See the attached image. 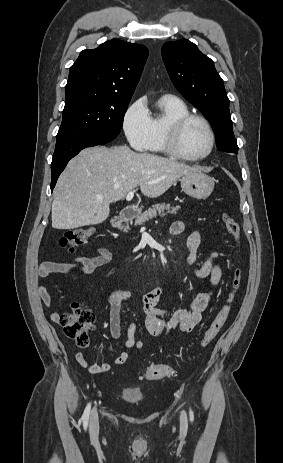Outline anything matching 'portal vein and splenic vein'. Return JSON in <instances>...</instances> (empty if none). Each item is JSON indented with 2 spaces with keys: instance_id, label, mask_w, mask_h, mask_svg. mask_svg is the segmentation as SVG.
Masks as SVG:
<instances>
[{
  "instance_id": "obj_1",
  "label": "portal vein and splenic vein",
  "mask_w": 283,
  "mask_h": 463,
  "mask_svg": "<svg viewBox=\"0 0 283 463\" xmlns=\"http://www.w3.org/2000/svg\"><path fill=\"white\" fill-rule=\"evenodd\" d=\"M134 193H135V191H134V190H131V191L127 194L126 200H127V201L132 200V198L134 197Z\"/></svg>"
}]
</instances>
